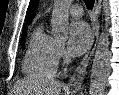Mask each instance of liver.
I'll return each instance as SVG.
<instances>
[{"label":"liver","mask_w":119,"mask_h":95,"mask_svg":"<svg viewBox=\"0 0 119 95\" xmlns=\"http://www.w3.org/2000/svg\"><path fill=\"white\" fill-rule=\"evenodd\" d=\"M20 88H25V93L27 90L35 95H60L62 89V83L59 80L54 78H44L41 77L35 84L32 86L27 81H22L17 84ZM30 87V88H29Z\"/></svg>","instance_id":"6515ba94"}]
</instances>
